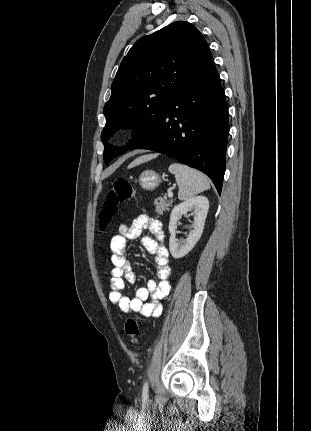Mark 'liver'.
<instances>
[{
    "label": "liver",
    "instance_id": "6515ba94",
    "mask_svg": "<svg viewBox=\"0 0 311 431\" xmlns=\"http://www.w3.org/2000/svg\"><path fill=\"white\" fill-rule=\"evenodd\" d=\"M143 162H148L147 156H140V158H136V160H133V162L129 164L128 168H134V166H139V164H143Z\"/></svg>",
    "mask_w": 311,
    "mask_h": 431
}]
</instances>
